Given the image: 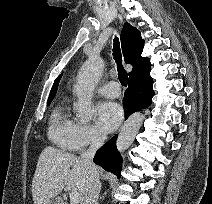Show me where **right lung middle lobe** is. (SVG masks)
<instances>
[{
	"label": "right lung middle lobe",
	"mask_w": 212,
	"mask_h": 204,
	"mask_svg": "<svg viewBox=\"0 0 212 204\" xmlns=\"http://www.w3.org/2000/svg\"><path fill=\"white\" fill-rule=\"evenodd\" d=\"M51 101H48V105L50 104Z\"/></svg>",
	"instance_id": "right-lung-middle-lobe-1"
}]
</instances>
